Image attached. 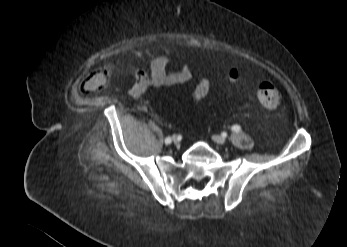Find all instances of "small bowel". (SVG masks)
I'll return each mask as SVG.
<instances>
[{
  "label": "small bowel",
  "instance_id": "obj_1",
  "mask_svg": "<svg viewBox=\"0 0 347 247\" xmlns=\"http://www.w3.org/2000/svg\"><path fill=\"white\" fill-rule=\"evenodd\" d=\"M130 54L134 58L140 57L136 51H131ZM168 61L169 55L167 53L156 55L151 61L149 75L143 69L133 68L134 82L128 89V94L133 98H140L149 87L157 89L161 87H175L186 83L192 78L191 60L188 59L179 69L172 72L167 71ZM112 73L113 70L111 68H104L92 73L82 81L81 89L84 92L100 89ZM210 88L211 79L208 77L201 79L191 92V100L194 103L201 102L208 96Z\"/></svg>",
  "mask_w": 347,
  "mask_h": 247
}]
</instances>
